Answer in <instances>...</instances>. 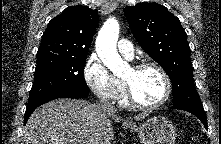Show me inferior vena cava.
<instances>
[{
  "label": "inferior vena cava",
  "instance_id": "602c4592",
  "mask_svg": "<svg viewBox=\"0 0 221 144\" xmlns=\"http://www.w3.org/2000/svg\"><path fill=\"white\" fill-rule=\"evenodd\" d=\"M99 106L105 113H115L116 109L114 105L107 99H101L99 102Z\"/></svg>",
  "mask_w": 221,
  "mask_h": 144
}]
</instances>
